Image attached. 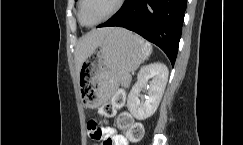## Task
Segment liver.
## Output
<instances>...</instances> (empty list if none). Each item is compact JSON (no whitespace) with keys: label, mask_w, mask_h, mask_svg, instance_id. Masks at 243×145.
<instances>
[{"label":"liver","mask_w":243,"mask_h":145,"mask_svg":"<svg viewBox=\"0 0 243 145\" xmlns=\"http://www.w3.org/2000/svg\"><path fill=\"white\" fill-rule=\"evenodd\" d=\"M114 28L94 29L79 39L75 48V66L79 74L83 62L93 54L104 37Z\"/></svg>","instance_id":"6515ba94"}]
</instances>
